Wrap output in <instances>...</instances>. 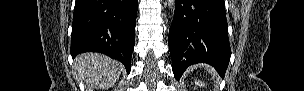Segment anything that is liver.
Listing matches in <instances>:
<instances>
[{
	"mask_svg": "<svg viewBox=\"0 0 304 91\" xmlns=\"http://www.w3.org/2000/svg\"><path fill=\"white\" fill-rule=\"evenodd\" d=\"M74 70L76 77L85 83L87 89H106L117 81L123 66L105 55L84 53L76 57Z\"/></svg>",
	"mask_w": 304,
	"mask_h": 91,
	"instance_id": "obj_1",
	"label": "liver"
}]
</instances>
